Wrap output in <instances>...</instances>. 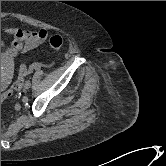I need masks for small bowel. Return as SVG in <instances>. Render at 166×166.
<instances>
[{
    "mask_svg": "<svg viewBox=\"0 0 166 166\" xmlns=\"http://www.w3.org/2000/svg\"><path fill=\"white\" fill-rule=\"evenodd\" d=\"M3 32L13 38L10 46L1 41V74H10L14 67V59L20 52H27L37 48L46 41L48 32L45 29L30 31L17 27H6Z\"/></svg>",
    "mask_w": 166,
    "mask_h": 166,
    "instance_id": "c3829d8e",
    "label": "small bowel"
}]
</instances>
